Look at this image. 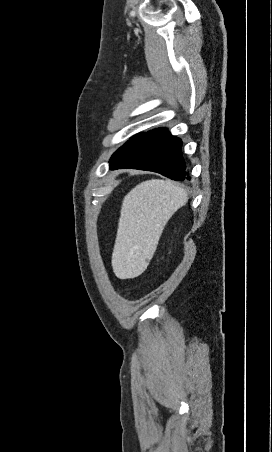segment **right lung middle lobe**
Segmentation results:
<instances>
[{
    "label": "right lung middle lobe",
    "mask_w": 272,
    "mask_h": 452,
    "mask_svg": "<svg viewBox=\"0 0 272 452\" xmlns=\"http://www.w3.org/2000/svg\"><path fill=\"white\" fill-rule=\"evenodd\" d=\"M145 133H139L132 137L126 144L120 147L111 157L110 166L116 163Z\"/></svg>",
    "instance_id": "right-lung-middle-lobe-1"
}]
</instances>
